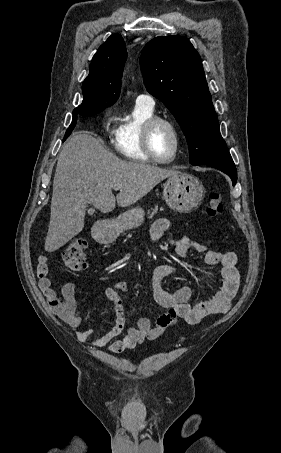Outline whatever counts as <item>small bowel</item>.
<instances>
[{
	"label": "small bowel",
	"mask_w": 281,
	"mask_h": 453,
	"mask_svg": "<svg viewBox=\"0 0 281 453\" xmlns=\"http://www.w3.org/2000/svg\"><path fill=\"white\" fill-rule=\"evenodd\" d=\"M171 229V224L168 220H157L151 228V242L156 243L163 234ZM173 248L180 257H186L191 250L203 253L204 256L201 261L203 266L219 265L221 268V287L215 298L194 305L190 304L188 302L192 294L190 287H180L174 293H169L162 286V281L166 277L179 274L182 268L175 263L160 264L154 269L152 275L153 295L156 302L164 307L167 312L158 318L155 325H152L149 319L144 318L134 326L125 327L120 293L127 292L129 286L126 282H118L105 290V297L112 308L111 321L113 326L107 333L93 337V331L80 329L83 319L75 297V284L68 282L63 285V301H60L48 275L50 260L46 255H41L39 258V285L50 305L52 314L76 329V336L80 341L89 342L94 348H102L115 337L125 332V336L122 339L114 341L109 346V350L113 354H122L141 344L144 339L154 340L160 338L179 320H183L188 325H194L198 324L209 314H225L232 307L239 289L236 255L234 253L207 250L204 245L198 243L184 232H179L178 237L173 241ZM61 265L63 268L76 271H83L87 268V263H73L70 259H63Z\"/></svg>",
	"instance_id": "c3829d8e"
}]
</instances>
